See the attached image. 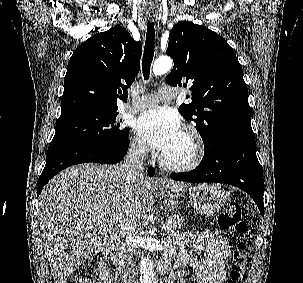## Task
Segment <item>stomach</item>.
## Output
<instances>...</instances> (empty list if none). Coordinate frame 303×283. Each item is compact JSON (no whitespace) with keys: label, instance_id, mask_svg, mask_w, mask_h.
I'll return each instance as SVG.
<instances>
[{"label":"stomach","instance_id":"obj_1","mask_svg":"<svg viewBox=\"0 0 303 283\" xmlns=\"http://www.w3.org/2000/svg\"><path fill=\"white\" fill-rule=\"evenodd\" d=\"M162 194L170 198L179 197L181 193L172 192L168 188L160 187ZM188 192V203L198 213L211 216L218 212L226 203L227 196L224 190L213 184H201L194 187H186L181 190Z\"/></svg>","mask_w":303,"mask_h":283}]
</instances>
